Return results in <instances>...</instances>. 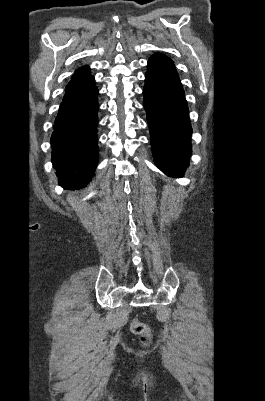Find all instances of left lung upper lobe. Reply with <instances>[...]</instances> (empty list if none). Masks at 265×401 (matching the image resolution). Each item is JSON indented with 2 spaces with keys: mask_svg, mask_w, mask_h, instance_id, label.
Masks as SVG:
<instances>
[{
  "mask_svg": "<svg viewBox=\"0 0 265 401\" xmlns=\"http://www.w3.org/2000/svg\"><path fill=\"white\" fill-rule=\"evenodd\" d=\"M155 55H159V56H165V55H162V54H155ZM166 57V56H165Z\"/></svg>",
  "mask_w": 265,
  "mask_h": 401,
  "instance_id": "obj_1",
  "label": "left lung upper lobe"
}]
</instances>
